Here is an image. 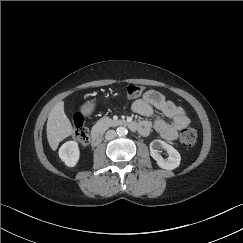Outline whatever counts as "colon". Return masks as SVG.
Instances as JSON below:
<instances>
[{
    "label": "colon",
    "mask_w": 243,
    "mask_h": 243,
    "mask_svg": "<svg viewBox=\"0 0 243 243\" xmlns=\"http://www.w3.org/2000/svg\"><path fill=\"white\" fill-rule=\"evenodd\" d=\"M143 89L141 86L132 84L126 88V95L130 99H137L141 96ZM74 136L82 145H86L88 141L87 129L84 124V117L80 112L73 116ZM197 133L193 128H185L180 134V142L185 147L195 144Z\"/></svg>",
    "instance_id": "obj_1"
}]
</instances>
